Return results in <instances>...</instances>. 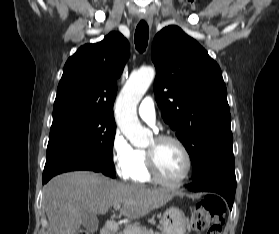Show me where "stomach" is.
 <instances>
[{"instance_id": "1", "label": "stomach", "mask_w": 279, "mask_h": 234, "mask_svg": "<svg viewBox=\"0 0 279 234\" xmlns=\"http://www.w3.org/2000/svg\"><path fill=\"white\" fill-rule=\"evenodd\" d=\"M187 218L182 210L176 207L167 209L161 219L162 234H185Z\"/></svg>"}]
</instances>
